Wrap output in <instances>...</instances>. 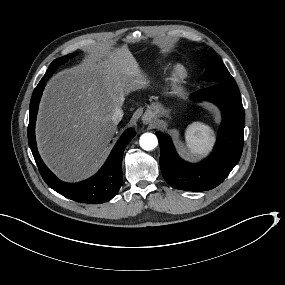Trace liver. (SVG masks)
Returning <instances> with one entry per match:
<instances>
[{
	"label": "liver",
	"instance_id": "liver-1",
	"mask_svg": "<svg viewBox=\"0 0 285 285\" xmlns=\"http://www.w3.org/2000/svg\"><path fill=\"white\" fill-rule=\"evenodd\" d=\"M152 83L125 47L109 61L94 53L82 66L57 74L45 90L37 124L45 161L65 179L88 174L116 130L114 111Z\"/></svg>",
	"mask_w": 285,
	"mask_h": 285
}]
</instances>
